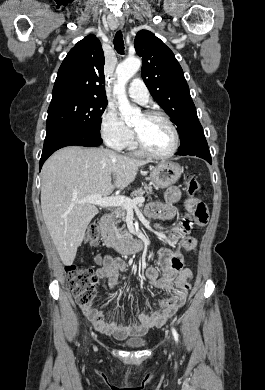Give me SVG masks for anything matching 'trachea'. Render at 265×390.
<instances>
[{"instance_id":"1","label":"trachea","mask_w":265,"mask_h":390,"mask_svg":"<svg viewBox=\"0 0 265 390\" xmlns=\"http://www.w3.org/2000/svg\"><path fill=\"white\" fill-rule=\"evenodd\" d=\"M114 48L119 54L124 53V41H123V35L121 31H118L114 38Z\"/></svg>"}]
</instances>
